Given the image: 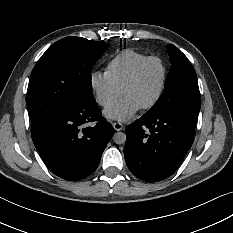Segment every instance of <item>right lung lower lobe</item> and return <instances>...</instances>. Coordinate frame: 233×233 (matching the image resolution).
<instances>
[{"label": "right lung lower lobe", "mask_w": 233, "mask_h": 233, "mask_svg": "<svg viewBox=\"0 0 233 233\" xmlns=\"http://www.w3.org/2000/svg\"><path fill=\"white\" fill-rule=\"evenodd\" d=\"M112 136L113 127L102 118L94 98L79 99L60 114L32 122V140L41 158L55 175L69 181L96 170Z\"/></svg>", "instance_id": "right-lung-lower-lobe-1"}]
</instances>
